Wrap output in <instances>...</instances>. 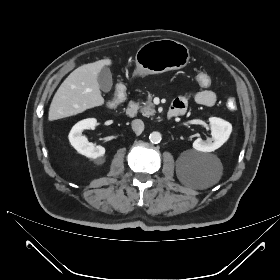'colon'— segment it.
Returning <instances> with one entry per match:
<instances>
[{
  "label": "colon",
  "instance_id": "5ec220e1",
  "mask_svg": "<svg viewBox=\"0 0 280 280\" xmlns=\"http://www.w3.org/2000/svg\"><path fill=\"white\" fill-rule=\"evenodd\" d=\"M191 80L192 83L196 85V88L201 91L207 90L212 83L211 76L202 70L194 72L192 74ZM113 90L115 92L114 96L113 97L109 96L104 101L105 106L109 109L114 108L117 103L118 104L123 103L126 99L125 96L126 87L123 83L121 82L116 83L113 87ZM226 106L230 110H235L237 107L235 98L233 97L227 98Z\"/></svg>",
  "mask_w": 280,
  "mask_h": 280
}]
</instances>
